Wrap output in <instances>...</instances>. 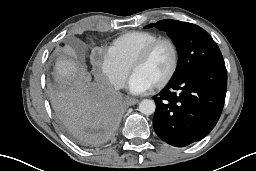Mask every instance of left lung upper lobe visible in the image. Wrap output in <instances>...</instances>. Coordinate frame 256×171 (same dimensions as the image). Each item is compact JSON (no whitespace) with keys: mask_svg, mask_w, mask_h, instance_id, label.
I'll use <instances>...</instances> for the list:
<instances>
[{"mask_svg":"<svg viewBox=\"0 0 256 171\" xmlns=\"http://www.w3.org/2000/svg\"><path fill=\"white\" fill-rule=\"evenodd\" d=\"M153 26L166 31L177 47L179 60L171 80L197 68L225 66L218 46L201 27L188 22L164 19L145 28Z\"/></svg>","mask_w":256,"mask_h":171,"instance_id":"left-lung-upper-lobe-1","label":"left lung upper lobe"}]
</instances>
